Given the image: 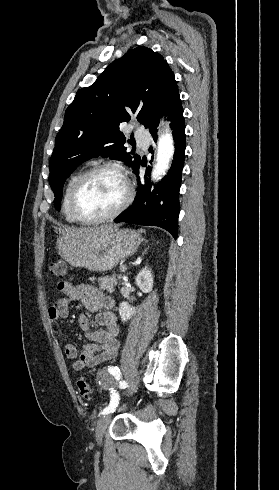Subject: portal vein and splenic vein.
<instances>
[{
  "mask_svg": "<svg viewBox=\"0 0 279 490\" xmlns=\"http://www.w3.org/2000/svg\"><path fill=\"white\" fill-rule=\"evenodd\" d=\"M120 270H121V272H126L127 268H126V266H121Z\"/></svg>",
  "mask_w": 279,
  "mask_h": 490,
  "instance_id": "18ae733b",
  "label": "portal vein and splenic vein"
}]
</instances>
